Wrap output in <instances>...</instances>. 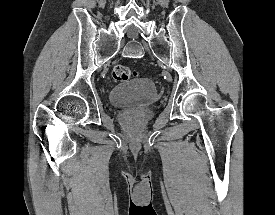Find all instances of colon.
I'll return each mask as SVG.
<instances>
[{"label":"colon","instance_id":"5ec220e1","mask_svg":"<svg viewBox=\"0 0 275 215\" xmlns=\"http://www.w3.org/2000/svg\"><path fill=\"white\" fill-rule=\"evenodd\" d=\"M112 77L117 82H125L133 77V73L130 68L124 65H116L113 68Z\"/></svg>","mask_w":275,"mask_h":215}]
</instances>
